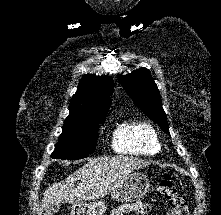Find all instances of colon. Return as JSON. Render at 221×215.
<instances>
[{"instance_id":"5ec220e1","label":"colon","mask_w":221,"mask_h":215,"mask_svg":"<svg viewBox=\"0 0 221 215\" xmlns=\"http://www.w3.org/2000/svg\"><path fill=\"white\" fill-rule=\"evenodd\" d=\"M158 192L169 204L167 215H189L187 200L175 187L170 174H165L161 179L158 184Z\"/></svg>"}]
</instances>
